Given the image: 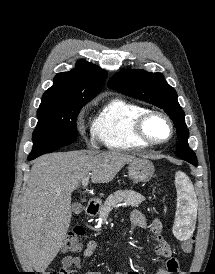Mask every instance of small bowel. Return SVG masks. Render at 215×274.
Masks as SVG:
<instances>
[{
  "label": "small bowel",
  "mask_w": 215,
  "mask_h": 274,
  "mask_svg": "<svg viewBox=\"0 0 215 274\" xmlns=\"http://www.w3.org/2000/svg\"><path fill=\"white\" fill-rule=\"evenodd\" d=\"M131 223L133 226L141 229L149 228L156 241L155 251L157 255L166 260L164 267H157L156 274H185L180 271V266L176 258L172 256V249L162 234L161 222L153 218L148 220L145 215L138 211H132L130 215ZM98 247L96 240H89L86 244L85 249L82 251L81 256H65L62 260L64 274H72L75 268L81 265L83 258L92 257ZM84 274H102L99 271H89ZM114 274H124L122 272H115ZM130 274V273H129Z\"/></svg>",
  "instance_id": "obj_1"
}]
</instances>
